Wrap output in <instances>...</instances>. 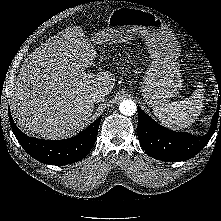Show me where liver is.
<instances>
[{
  "mask_svg": "<svg viewBox=\"0 0 221 221\" xmlns=\"http://www.w3.org/2000/svg\"><path fill=\"white\" fill-rule=\"evenodd\" d=\"M97 57L95 44L79 26L66 28L24 61L13 88L10 110L16 125L28 135L65 139L89 122L91 94H109L115 78L109 71L87 74Z\"/></svg>",
  "mask_w": 221,
  "mask_h": 221,
  "instance_id": "liver-1",
  "label": "liver"
}]
</instances>
